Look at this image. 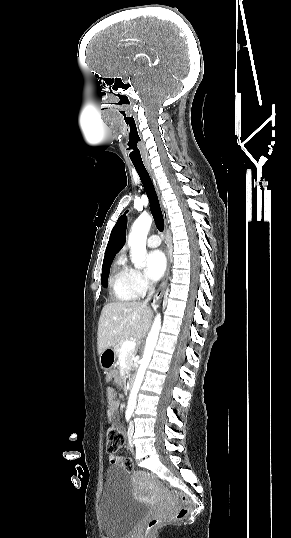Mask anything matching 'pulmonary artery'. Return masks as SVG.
<instances>
[{
	"mask_svg": "<svg viewBox=\"0 0 291 538\" xmlns=\"http://www.w3.org/2000/svg\"><path fill=\"white\" fill-rule=\"evenodd\" d=\"M161 244V239L158 235H151L148 239H147V245L148 247L150 248H156L158 247L159 245Z\"/></svg>",
	"mask_w": 291,
	"mask_h": 538,
	"instance_id": "obj_1",
	"label": "pulmonary artery"
}]
</instances>
